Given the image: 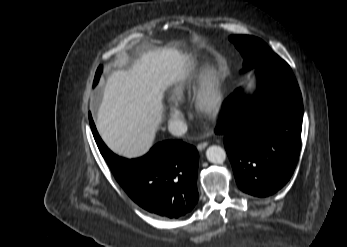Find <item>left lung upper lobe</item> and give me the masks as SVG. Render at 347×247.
<instances>
[{
    "label": "left lung upper lobe",
    "instance_id": "1",
    "mask_svg": "<svg viewBox=\"0 0 347 247\" xmlns=\"http://www.w3.org/2000/svg\"><path fill=\"white\" fill-rule=\"evenodd\" d=\"M229 39L235 44L244 59V70L280 58L259 38L248 35H233Z\"/></svg>",
    "mask_w": 347,
    "mask_h": 247
}]
</instances>
